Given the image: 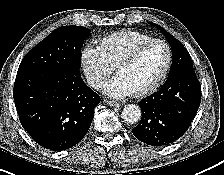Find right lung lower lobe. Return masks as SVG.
Returning <instances> with one entry per match:
<instances>
[{
    "mask_svg": "<svg viewBox=\"0 0 224 175\" xmlns=\"http://www.w3.org/2000/svg\"><path fill=\"white\" fill-rule=\"evenodd\" d=\"M13 97L23 128L53 151L72 148L82 140L101 100L84 83L80 71L17 72Z\"/></svg>",
    "mask_w": 224,
    "mask_h": 175,
    "instance_id": "1",
    "label": "right lung lower lobe"
}]
</instances>
